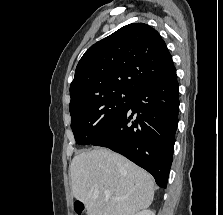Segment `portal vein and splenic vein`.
<instances>
[{"label": "portal vein and splenic vein", "instance_id": "1", "mask_svg": "<svg viewBox=\"0 0 223 215\" xmlns=\"http://www.w3.org/2000/svg\"><path fill=\"white\" fill-rule=\"evenodd\" d=\"M105 193H106L107 199H109V197H111V199H124V197H113V195H110L109 189H105Z\"/></svg>", "mask_w": 223, "mask_h": 215}]
</instances>
